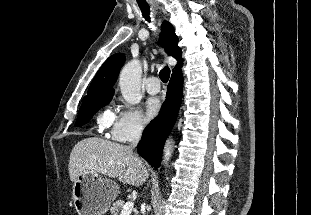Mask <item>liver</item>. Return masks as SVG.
<instances>
[{
  "label": "liver",
  "instance_id": "1",
  "mask_svg": "<svg viewBox=\"0 0 311 215\" xmlns=\"http://www.w3.org/2000/svg\"><path fill=\"white\" fill-rule=\"evenodd\" d=\"M68 170L72 182L80 174L91 172L118 178L120 182L135 187L141 186L149 176L133 149L97 137L85 138L73 147Z\"/></svg>",
  "mask_w": 311,
  "mask_h": 215
}]
</instances>
